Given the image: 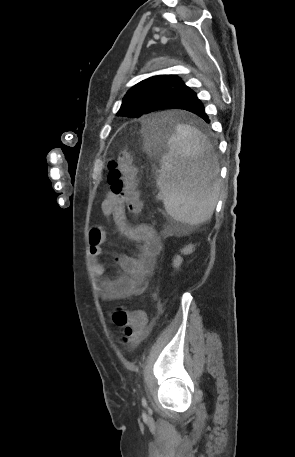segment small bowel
<instances>
[{
    "label": "small bowel",
    "mask_w": 295,
    "mask_h": 457,
    "mask_svg": "<svg viewBox=\"0 0 295 457\" xmlns=\"http://www.w3.org/2000/svg\"><path fill=\"white\" fill-rule=\"evenodd\" d=\"M101 212L105 217L113 218L119 230L129 239L138 243L135 257L117 255L115 260L121 275L116 280L105 277L106 267L101 258L103 246L107 241L105 230L93 226L89 231L91 263L94 274L100 279V294L103 300L126 301L146 291L147 278L153 272L156 257L161 251V242L155 230L148 224L131 226L125 215V207L111 192L101 203Z\"/></svg>",
    "instance_id": "small-bowel-1"
}]
</instances>
